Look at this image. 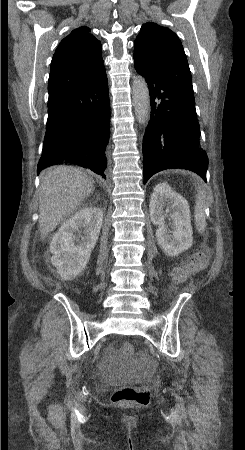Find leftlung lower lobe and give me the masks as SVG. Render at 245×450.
Here are the masks:
<instances>
[{
    "instance_id": "1",
    "label": "left lung lower lobe",
    "mask_w": 245,
    "mask_h": 450,
    "mask_svg": "<svg viewBox=\"0 0 245 450\" xmlns=\"http://www.w3.org/2000/svg\"><path fill=\"white\" fill-rule=\"evenodd\" d=\"M148 85L151 117L143 139L144 184L155 173L182 168L206 182L208 157L200 145V126L195 102L168 79L135 67Z\"/></svg>"
}]
</instances>
